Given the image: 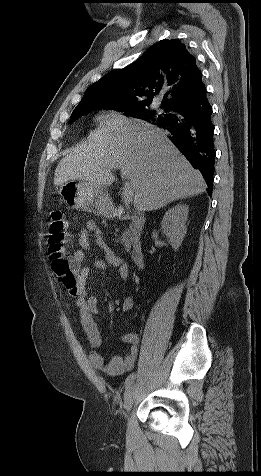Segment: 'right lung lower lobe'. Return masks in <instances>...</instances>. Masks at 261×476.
<instances>
[{
	"instance_id": "right-lung-lower-lobe-1",
	"label": "right lung lower lobe",
	"mask_w": 261,
	"mask_h": 476,
	"mask_svg": "<svg viewBox=\"0 0 261 476\" xmlns=\"http://www.w3.org/2000/svg\"><path fill=\"white\" fill-rule=\"evenodd\" d=\"M172 113L153 124L168 130L171 141L199 169L207 184L212 185L215 149L212 107L205 86L190 100L171 108Z\"/></svg>"
}]
</instances>
